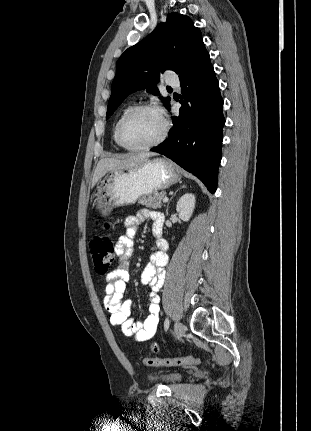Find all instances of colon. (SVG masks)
I'll use <instances>...</instances> for the list:
<instances>
[{
	"label": "colon",
	"mask_w": 311,
	"mask_h": 431,
	"mask_svg": "<svg viewBox=\"0 0 311 431\" xmlns=\"http://www.w3.org/2000/svg\"><path fill=\"white\" fill-rule=\"evenodd\" d=\"M103 228L109 229V223H104ZM89 247L96 272L107 273L115 256V248L110 237L105 233L96 234L90 240ZM142 362L147 366H188L199 365L201 360L194 356H186L166 359L144 358Z\"/></svg>",
	"instance_id": "obj_1"
}]
</instances>
